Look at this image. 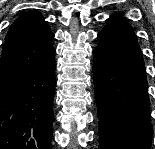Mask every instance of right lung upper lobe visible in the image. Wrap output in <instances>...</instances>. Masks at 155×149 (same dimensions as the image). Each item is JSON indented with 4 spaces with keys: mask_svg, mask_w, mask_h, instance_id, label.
I'll return each mask as SVG.
<instances>
[{
    "mask_svg": "<svg viewBox=\"0 0 155 149\" xmlns=\"http://www.w3.org/2000/svg\"><path fill=\"white\" fill-rule=\"evenodd\" d=\"M54 34L37 11L19 16L10 26L2 49L0 77L41 65L55 54Z\"/></svg>",
    "mask_w": 155,
    "mask_h": 149,
    "instance_id": "cb5924a9",
    "label": "right lung upper lobe"
}]
</instances>
